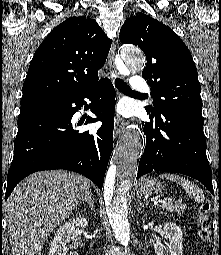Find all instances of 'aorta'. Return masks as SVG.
<instances>
[{
	"label": "aorta",
	"instance_id": "762f6f07",
	"mask_svg": "<svg viewBox=\"0 0 221 255\" xmlns=\"http://www.w3.org/2000/svg\"><path fill=\"white\" fill-rule=\"evenodd\" d=\"M124 64L135 71L143 70L145 58L134 47L121 50ZM144 149V138L137 127L129 130L122 138L115 153V162L109 167L104 182V199L106 211L115 238L127 248L130 241L128 222V199L131 186L136 179L138 160Z\"/></svg>",
	"mask_w": 221,
	"mask_h": 255
}]
</instances>
